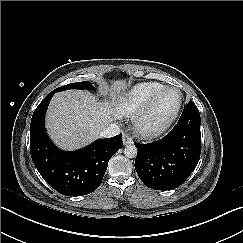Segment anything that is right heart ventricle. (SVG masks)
<instances>
[{
  "mask_svg": "<svg viewBox=\"0 0 243 243\" xmlns=\"http://www.w3.org/2000/svg\"><path fill=\"white\" fill-rule=\"evenodd\" d=\"M164 87L165 85L156 81H146L134 84L115 99V111L121 116H133L156 92Z\"/></svg>",
  "mask_w": 243,
  "mask_h": 243,
  "instance_id": "right-heart-ventricle-1",
  "label": "right heart ventricle"
}]
</instances>
